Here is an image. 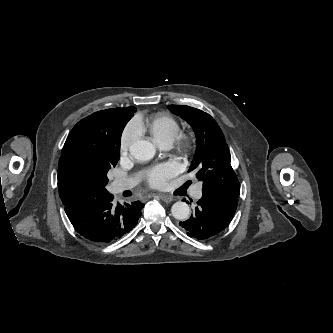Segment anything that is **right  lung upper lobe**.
I'll return each instance as SVG.
<instances>
[{
	"instance_id": "obj_1",
	"label": "right lung upper lobe",
	"mask_w": 333,
	"mask_h": 333,
	"mask_svg": "<svg viewBox=\"0 0 333 333\" xmlns=\"http://www.w3.org/2000/svg\"><path fill=\"white\" fill-rule=\"evenodd\" d=\"M59 195L66 206L75 205L94 199L85 188L72 183L58 167Z\"/></svg>"
}]
</instances>
